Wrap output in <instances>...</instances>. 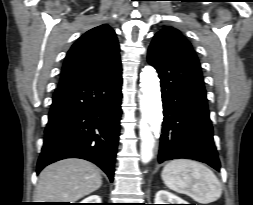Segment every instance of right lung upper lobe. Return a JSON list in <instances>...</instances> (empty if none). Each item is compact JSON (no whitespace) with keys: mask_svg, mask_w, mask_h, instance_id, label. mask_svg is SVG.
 Listing matches in <instances>:
<instances>
[{"mask_svg":"<svg viewBox=\"0 0 253 205\" xmlns=\"http://www.w3.org/2000/svg\"><path fill=\"white\" fill-rule=\"evenodd\" d=\"M119 64L116 34L109 25H100L73 44L65 58L59 86L97 77Z\"/></svg>","mask_w":253,"mask_h":205,"instance_id":"cb5924a9","label":"right lung upper lobe"}]
</instances>
